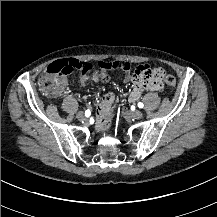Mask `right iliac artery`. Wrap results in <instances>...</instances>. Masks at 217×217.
<instances>
[{
	"mask_svg": "<svg viewBox=\"0 0 217 217\" xmlns=\"http://www.w3.org/2000/svg\"><path fill=\"white\" fill-rule=\"evenodd\" d=\"M92 115V112L90 110L85 111V116L90 117Z\"/></svg>",
	"mask_w": 217,
	"mask_h": 217,
	"instance_id": "82829eb1",
	"label": "right iliac artery"
}]
</instances>
